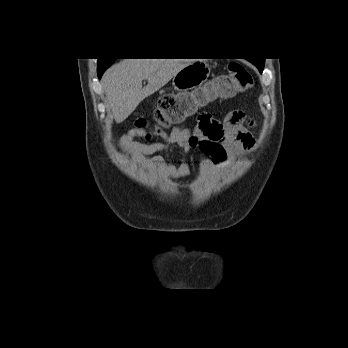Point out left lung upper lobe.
<instances>
[{"instance_id":"left-lung-upper-lobe-1","label":"left lung upper lobe","mask_w":348,"mask_h":348,"mask_svg":"<svg viewBox=\"0 0 348 348\" xmlns=\"http://www.w3.org/2000/svg\"><path fill=\"white\" fill-rule=\"evenodd\" d=\"M252 63H253L254 65H256L257 68L259 69V71L262 73L263 68H264V59L252 61Z\"/></svg>"}]
</instances>
